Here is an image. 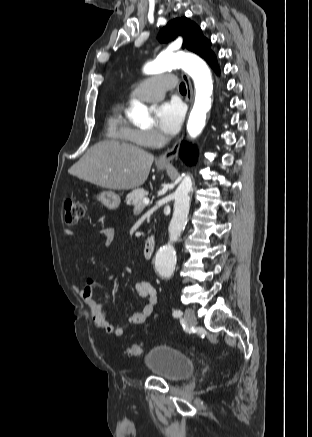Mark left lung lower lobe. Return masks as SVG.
<instances>
[{
  "mask_svg": "<svg viewBox=\"0 0 312 437\" xmlns=\"http://www.w3.org/2000/svg\"><path fill=\"white\" fill-rule=\"evenodd\" d=\"M209 65L217 72L219 73L218 70V66L216 63V57L215 55H211L207 60H206ZM180 157L186 162V163H194L196 161L197 158V151L195 149V147L189 145L187 146L185 142L182 143L181 145V149H180Z\"/></svg>",
  "mask_w": 312,
  "mask_h": 437,
  "instance_id": "left-lung-lower-lobe-1",
  "label": "left lung lower lobe"
}]
</instances>
